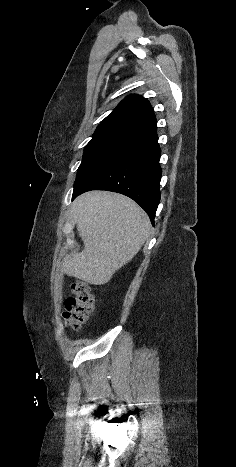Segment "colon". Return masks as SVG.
Here are the masks:
<instances>
[{"label": "colon", "mask_w": 236, "mask_h": 467, "mask_svg": "<svg viewBox=\"0 0 236 467\" xmlns=\"http://www.w3.org/2000/svg\"><path fill=\"white\" fill-rule=\"evenodd\" d=\"M71 288L73 296L65 301L64 319L67 325L79 330L93 311L94 298L90 285L83 280H74Z\"/></svg>", "instance_id": "1"}]
</instances>
